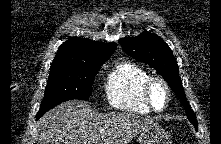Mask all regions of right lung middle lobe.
I'll use <instances>...</instances> for the list:
<instances>
[{"label": "right lung middle lobe", "instance_id": "dd1d6c3e", "mask_svg": "<svg viewBox=\"0 0 221 144\" xmlns=\"http://www.w3.org/2000/svg\"><path fill=\"white\" fill-rule=\"evenodd\" d=\"M102 64L51 65L45 96L36 119L62 102L88 99L92 93L94 77Z\"/></svg>", "mask_w": 221, "mask_h": 144}]
</instances>
